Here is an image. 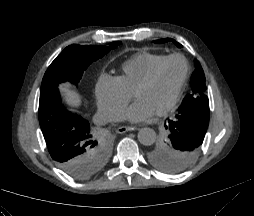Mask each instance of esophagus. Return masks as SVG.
Returning <instances> with one entry per match:
<instances>
[{
  "instance_id": "obj_1",
  "label": "esophagus",
  "mask_w": 254,
  "mask_h": 216,
  "mask_svg": "<svg viewBox=\"0 0 254 216\" xmlns=\"http://www.w3.org/2000/svg\"><path fill=\"white\" fill-rule=\"evenodd\" d=\"M138 128L137 127H134V126H121L117 129V133L119 134H123L125 132H129V131H135L137 130Z\"/></svg>"
}]
</instances>
